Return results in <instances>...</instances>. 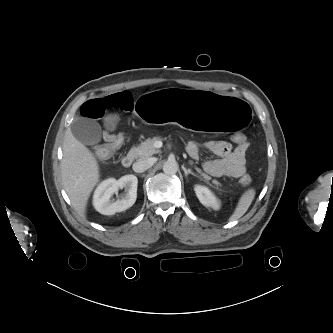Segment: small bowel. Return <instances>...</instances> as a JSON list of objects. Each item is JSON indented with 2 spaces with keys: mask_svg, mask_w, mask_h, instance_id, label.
Wrapping results in <instances>:
<instances>
[{
  "mask_svg": "<svg viewBox=\"0 0 333 333\" xmlns=\"http://www.w3.org/2000/svg\"><path fill=\"white\" fill-rule=\"evenodd\" d=\"M133 107L134 101L131 93L122 91L84 102L80 107V113L86 119H101L109 110L131 111ZM204 147L218 156L216 159L203 163V168L209 175L237 178L246 172V153L249 148L247 142L232 148L224 141H210ZM186 151L193 159H198L200 156V146L194 142L187 145Z\"/></svg>",
  "mask_w": 333,
  "mask_h": 333,
  "instance_id": "obj_1",
  "label": "small bowel"
}]
</instances>
